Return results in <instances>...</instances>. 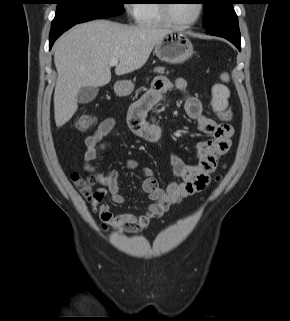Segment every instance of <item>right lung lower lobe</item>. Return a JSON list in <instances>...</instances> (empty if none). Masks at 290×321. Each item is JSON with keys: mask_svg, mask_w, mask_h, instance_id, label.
<instances>
[{"mask_svg": "<svg viewBox=\"0 0 290 321\" xmlns=\"http://www.w3.org/2000/svg\"><path fill=\"white\" fill-rule=\"evenodd\" d=\"M75 24H69L61 27H51L50 30V41H49V48L51 49L52 45L54 44L55 40L66 30L74 26Z\"/></svg>", "mask_w": 290, "mask_h": 321, "instance_id": "obj_1", "label": "right lung lower lobe"}]
</instances>
